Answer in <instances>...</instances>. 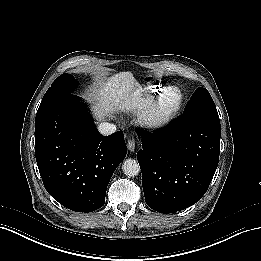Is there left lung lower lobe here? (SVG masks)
Segmentation results:
<instances>
[{"mask_svg":"<svg viewBox=\"0 0 261 261\" xmlns=\"http://www.w3.org/2000/svg\"><path fill=\"white\" fill-rule=\"evenodd\" d=\"M220 128L217 114L195 112L174 120L162 134L137 130L142 137L137 159L150 208L173 213L202 198L218 165Z\"/></svg>","mask_w":261,"mask_h":261,"instance_id":"0a47b994","label":"left lung lower lobe"}]
</instances>
